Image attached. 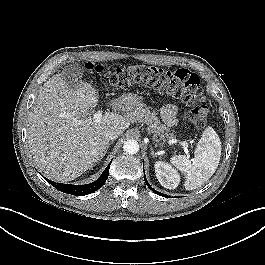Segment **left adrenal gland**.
<instances>
[{
  "instance_id": "obj_1",
  "label": "left adrenal gland",
  "mask_w": 265,
  "mask_h": 265,
  "mask_svg": "<svg viewBox=\"0 0 265 265\" xmlns=\"http://www.w3.org/2000/svg\"><path fill=\"white\" fill-rule=\"evenodd\" d=\"M150 150H151V155H152L153 157H157V154L154 152V150H153L152 147L150 148Z\"/></svg>"
}]
</instances>
